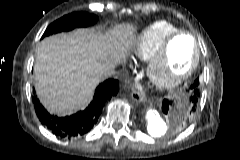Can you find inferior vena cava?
Segmentation results:
<instances>
[{"instance_id":"602c4592","label":"inferior vena cava","mask_w":240,"mask_h":160,"mask_svg":"<svg viewBox=\"0 0 240 160\" xmlns=\"http://www.w3.org/2000/svg\"><path fill=\"white\" fill-rule=\"evenodd\" d=\"M116 74L115 67H106L102 70L101 75L104 78L112 77Z\"/></svg>"}]
</instances>
